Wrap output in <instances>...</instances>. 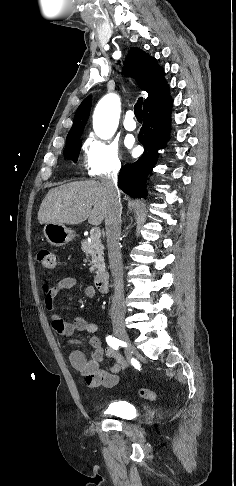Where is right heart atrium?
<instances>
[{
	"label": "right heart atrium",
	"instance_id": "right-heart-atrium-1",
	"mask_svg": "<svg viewBox=\"0 0 236 486\" xmlns=\"http://www.w3.org/2000/svg\"><path fill=\"white\" fill-rule=\"evenodd\" d=\"M83 159L90 177L117 173L122 167V157L115 142L90 135L83 144Z\"/></svg>",
	"mask_w": 236,
	"mask_h": 486
}]
</instances>
